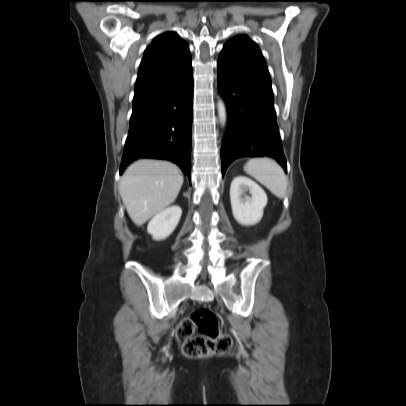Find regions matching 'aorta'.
Returning a JSON list of instances; mask_svg holds the SVG:
<instances>
[{"label":"aorta","instance_id":"762f6f07","mask_svg":"<svg viewBox=\"0 0 406 406\" xmlns=\"http://www.w3.org/2000/svg\"><path fill=\"white\" fill-rule=\"evenodd\" d=\"M218 114L221 122H225L227 119V113H226V106L224 102L221 100L218 103Z\"/></svg>","mask_w":406,"mask_h":406}]
</instances>
